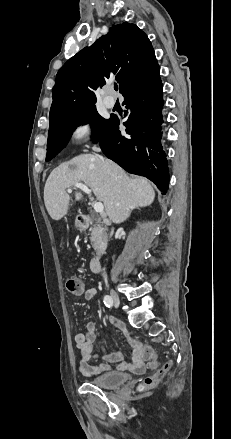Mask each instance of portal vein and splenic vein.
<instances>
[{"mask_svg": "<svg viewBox=\"0 0 231 439\" xmlns=\"http://www.w3.org/2000/svg\"><path fill=\"white\" fill-rule=\"evenodd\" d=\"M74 187L75 188H79L80 190H82L83 192H85L88 195H91V190L85 184L75 183ZM67 192L71 193L72 189L68 188ZM93 208H94L95 212H97V213H100V214L104 213V206H103V204L101 202L94 203Z\"/></svg>", "mask_w": 231, "mask_h": 439, "instance_id": "portal-vein-and-splenic-vein-1", "label": "portal vein and splenic vein"}]
</instances>
